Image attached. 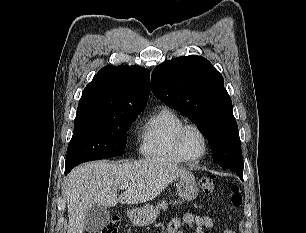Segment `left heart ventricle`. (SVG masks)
<instances>
[{
	"mask_svg": "<svg viewBox=\"0 0 306 233\" xmlns=\"http://www.w3.org/2000/svg\"><path fill=\"white\" fill-rule=\"evenodd\" d=\"M182 146L186 156L192 159L200 156L204 150L203 140L194 129H189L184 133Z\"/></svg>",
	"mask_w": 306,
	"mask_h": 233,
	"instance_id": "b2bd125f",
	"label": "left heart ventricle"
}]
</instances>
